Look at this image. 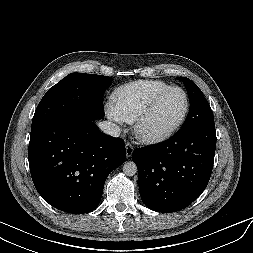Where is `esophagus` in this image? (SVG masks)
Instances as JSON below:
<instances>
[{
    "label": "esophagus",
    "instance_id": "obj_1",
    "mask_svg": "<svg viewBox=\"0 0 253 253\" xmlns=\"http://www.w3.org/2000/svg\"><path fill=\"white\" fill-rule=\"evenodd\" d=\"M126 157L130 158L132 156V153L134 151V147L131 143H126Z\"/></svg>",
    "mask_w": 253,
    "mask_h": 253
}]
</instances>
